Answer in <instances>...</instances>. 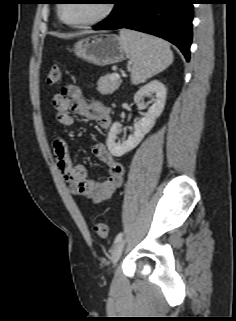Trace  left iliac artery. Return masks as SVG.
<instances>
[{
    "label": "left iliac artery",
    "mask_w": 236,
    "mask_h": 321,
    "mask_svg": "<svg viewBox=\"0 0 236 321\" xmlns=\"http://www.w3.org/2000/svg\"><path fill=\"white\" fill-rule=\"evenodd\" d=\"M122 236H123V233L120 232V233L116 236L114 243L119 242V241L122 239Z\"/></svg>",
    "instance_id": "44dca946"
}]
</instances>
